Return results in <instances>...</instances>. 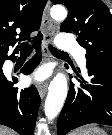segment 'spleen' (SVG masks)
Here are the masks:
<instances>
[{"label":"spleen","instance_id":"3e777b00","mask_svg":"<svg viewBox=\"0 0 112 135\" xmlns=\"http://www.w3.org/2000/svg\"><path fill=\"white\" fill-rule=\"evenodd\" d=\"M72 135H80L79 132H73Z\"/></svg>","mask_w":112,"mask_h":135}]
</instances>
